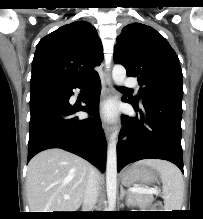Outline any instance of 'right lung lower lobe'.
I'll return each instance as SVG.
<instances>
[{
    "instance_id": "98d812e1",
    "label": "right lung lower lobe",
    "mask_w": 203,
    "mask_h": 219,
    "mask_svg": "<svg viewBox=\"0 0 203 219\" xmlns=\"http://www.w3.org/2000/svg\"><path fill=\"white\" fill-rule=\"evenodd\" d=\"M92 86L83 98L85 106L70 105L74 88ZM101 83L98 74L89 80L56 82L37 86L30 93L29 162L37 153L62 148L88 160L105 171L106 139L98 114ZM85 111L94 118L80 120L74 114Z\"/></svg>"
}]
</instances>
